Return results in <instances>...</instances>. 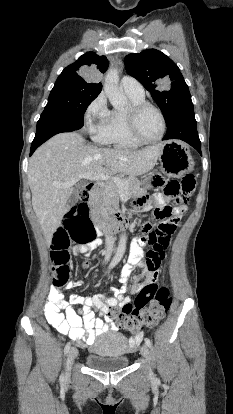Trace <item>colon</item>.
I'll return each mask as SVG.
<instances>
[{
    "instance_id": "colon-1",
    "label": "colon",
    "mask_w": 233,
    "mask_h": 414,
    "mask_svg": "<svg viewBox=\"0 0 233 414\" xmlns=\"http://www.w3.org/2000/svg\"><path fill=\"white\" fill-rule=\"evenodd\" d=\"M152 184L155 187H163L165 195L175 198L176 203L180 206L187 203L189 195L193 192L195 176L187 174L181 181L169 180L166 182L155 176L152 179ZM86 194L87 191L82 190L79 194L80 199L86 197ZM170 216L169 207L156 210L158 219H168ZM174 230L175 225L169 223L168 220L155 229H152L150 224L144 226L146 236L143 240L151 246V249L147 251L145 257L141 258L143 267L149 271H154L159 267L164 258L163 250ZM94 237L95 231L87 205L77 204L66 214L63 227L56 231L52 240L53 283L57 288L63 289V284H69L68 280L71 277L69 250L72 243L83 246L92 242ZM84 267L88 268L89 263H85ZM170 305L169 289L165 286L149 284L140 290L133 302L125 301L120 309L110 308L108 311L109 321L118 330L137 334L144 327L155 326L165 316Z\"/></svg>"
}]
</instances>
